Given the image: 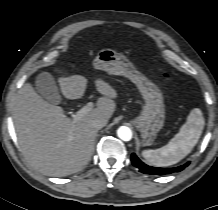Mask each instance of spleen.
<instances>
[{"mask_svg":"<svg viewBox=\"0 0 218 210\" xmlns=\"http://www.w3.org/2000/svg\"><path fill=\"white\" fill-rule=\"evenodd\" d=\"M200 109H193L186 123L167 145L156 150H144L143 157L152 165L167 167L178 163L188 155L197 144L204 127Z\"/></svg>","mask_w":218,"mask_h":210,"instance_id":"spleen-1","label":"spleen"}]
</instances>
